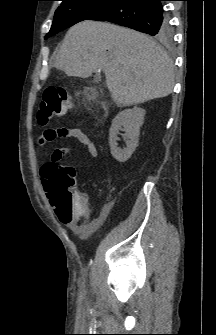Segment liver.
<instances>
[{
  "instance_id": "1",
  "label": "liver",
  "mask_w": 216,
  "mask_h": 335,
  "mask_svg": "<svg viewBox=\"0 0 216 335\" xmlns=\"http://www.w3.org/2000/svg\"><path fill=\"white\" fill-rule=\"evenodd\" d=\"M54 66L80 78L102 70L119 107L166 97L174 86L173 62L157 43L144 34L106 22L87 20L72 26Z\"/></svg>"
}]
</instances>
